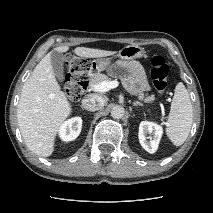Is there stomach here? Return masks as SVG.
<instances>
[{"label": "stomach", "instance_id": "1", "mask_svg": "<svg viewBox=\"0 0 213 213\" xmlns=\"http://www.w3.org/2000/svg\"><path fill=\"white\" fill-rule=\"evenodd\" d=\"M145 55L144 48L138 45H128L122 48L117 56L124 61H130L136 58H141ZM111 66V59L100 58L93 60L89 65V74L93 75L101 71L107 70Z\"/></svg>", "mask_w": 213, "mask_h": 213}]
</instances>
